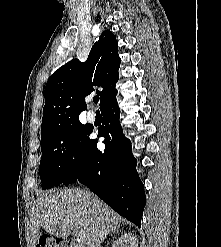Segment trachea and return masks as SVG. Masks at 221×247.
<instances>
[{
    "label": "trachea",
    "mask_w": 221,
    "mask_h": 247,
    "mask_svg": "<svg viewBox=\"0 0 221 247\" xmlns=\"http://www.w3.org/2000/svg\"><path fill=\"white\" fill-rule=\"evenodd\" d=\"M93 101H94L95 104H97L98 101H99V97H98V96H95V97L93 98Z\"/></svg>",
    "instance_id": "1"
}]
</instances>
